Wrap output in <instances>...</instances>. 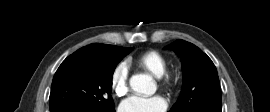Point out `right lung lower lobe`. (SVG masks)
<instances>
[{"label": "right lung lower lobe", "mask_w": 270, "mask_h": 112, "mask_svg": "<svg viewBox=\"0 0 270 112\" xmlns=\"http://www.w3.org/2000/svg\"><path fill=\"white\" fill-rule=\"evenodd\" d=\"M50 112H102L94 108H81V107H65V108H56L50 110ZM115 112V110L111 111Z\"/></svg>", "instance_id": "98d812e1"}]
</instances>
